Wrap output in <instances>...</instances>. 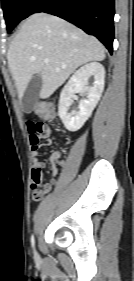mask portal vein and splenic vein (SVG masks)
<instances>
[{
  "label": "portal vein and splenic vein",
  "instance_id": "18ae733b",
  "mask_svg": "<svg viewBox=\"0 0 134 281\" xmlns=\"http://www.w3.org/2000/svg\"><path fill=\"white\" fill-rule=\"evenodd\" d=\"M44 62H45V63H48V62H49V60H48V59H45V60H44Z\"/></svg>",
  "mask_w": 134,
  "mask_h": 281
}]
</instances>
